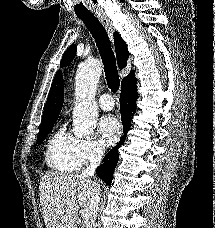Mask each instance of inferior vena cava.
I'll list each match as a JSON object with an SVG mask.
<instances>
[{"label": "inferior vena cava", "instance_id": "inferior-vena-cava-1", "mask_svg": "<svg viewBox=\"0 0 215 228\" xmlns=\"http://www.w3.org/2000/svg\"><path fill=\"white\" fill-rule=\"evenodd\" d=\"M104 156L103 148H97L94 150L92 156L89 158V166H87L86 170L82 172L81 176H90L93 180L92 188H91V204H90V220L87 222V228H97L96 224V212L98 210L100 198H101V190L98 182L95 180V172L96 168H98L102 158Z\"/></svg>", "mask_w": 215, "mask_h": 228}]
</instances>
